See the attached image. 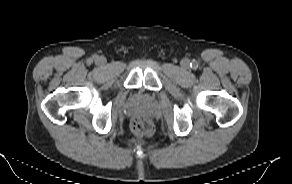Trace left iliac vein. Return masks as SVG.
I'll return each instance as SVG.
<instances>
[{
    "instance_id": "1",
    "label": "left iliac vein",
    "mask_w": 292,
    "mask_h": 184,
    "mask_svg": "<svg viewBox=\"0 0 292 184\" xmlns=\"http://www.w3.org/2000/svg\"><path fill=\"white\" fill-rule=\"evenodd\" d=\"M183 63H184V65H187L188 64V60H184Z\"/></svg>"
}]
</instances>
